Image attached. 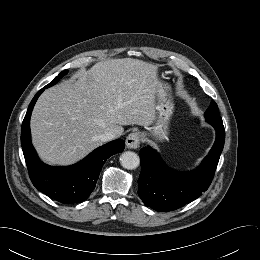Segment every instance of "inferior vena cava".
<instances>
[{
	"instance_id": "602c4592",
	"label": "inferior vena cava",
	"mask_w": 260,
	"mask_h": 260,
	"mask_svg": "<svg viewBox=\"0 0 260 260\" xmlns=\"http://www.w3.org/2000/svg\"><path fill=\"white\" fill-rule=\"evenodd\" d=\"M116 137V134L112 131H106L99 136L101 142H108L112 139H115Z\"/></svg>"
}]
</instances>
